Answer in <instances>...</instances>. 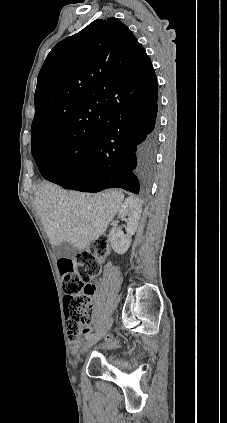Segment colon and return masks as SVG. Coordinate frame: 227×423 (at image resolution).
<instances>
[{
  "instance_id": "5ec220e1",
  "label": "colon",
  "mask_w": 227,
  "mask_h": 423,
  "mask_svg": "<svg viewBox=\"0 0 227 423\" xmlns=\"http://www.w3.org/2000/svg\"><path fill=\"white\" fill-rule=\"evenodd\" d=\"M108 239L98 237L91 248L80 252L74 259H60L59 270L63 280L64 311L69 340L75 341L92 319L90 281L101 272V262L108 253Z\"/></svg>"
}]
</instances>
